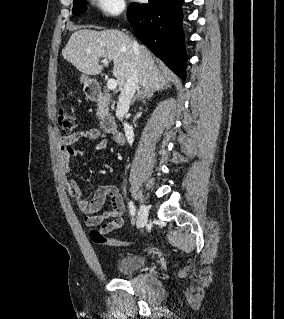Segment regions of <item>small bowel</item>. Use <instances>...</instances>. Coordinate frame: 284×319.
Returning <instances> with one entry per match:
<instances>
[{"mask_svg": "<svg viewBox=\"0 0 284 319\" xmlns=\"http://www.w3.org/2000/svg\"><path fill=\"white\" fill-rule=\"evenodd\" d=\"M95 141L93 151L102 152L106 148V140L97 128H90L86 131H78L71 135L60 138L61 159L66 173L71 171V161L73 158L82 157L85 152L74 147L82 139ZM67 188L76 200L79 211L84 216V222L88 227H99V232L106 236L112 231L123 226L122 215L125 212V204L118 188L114 185H101L95 191L93 198L87 200L78 183L69 179ZM107 199H109V209L102 211Z\"/></svg>", "mask_w": 284, "mask_h": 319, "instance_id": "small-bowel-1", "label": "small bowel"}]
</instances>
